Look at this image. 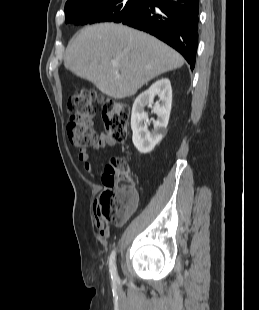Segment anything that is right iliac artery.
<instances>
[{
  "label": "right iliac artery",
  "instance_id": "right-iliac-artery-1",
  "mask_svg": "<svg viewBox=\"0 0 259 310\" xmlns=\"http://www.w3.org/2000/svg\"><path fill=\"white\" fill-rule=\"evenodd\" d=\"M115 257H116V251L114 250L111 253L110 258H109V271H110L112 280L118 281L119 277H118L117 269L115 265Z\"/></svg>",
  "mask_w": 259,
  "mask_h": 310
}]
</instances>
